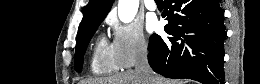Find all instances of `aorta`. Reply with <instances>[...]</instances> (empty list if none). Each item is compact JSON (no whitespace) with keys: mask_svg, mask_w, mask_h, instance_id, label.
Here are the masks:
<instances>
[{"mask_svg":"<svg viewBox=\"0 0 260 84\" xmlns=\"http://www.w3.org/2000/svg\"><path fill=\"white\" fill-rule=\"evenodd\" d=\"M139 0H119L118 17L121 22H131L137 14Z\"/></svg>","mask_w":260,"mask_h":84,"instance_id":"762f6f07","label":"aorta"}]
</instances>
